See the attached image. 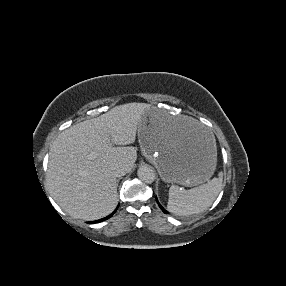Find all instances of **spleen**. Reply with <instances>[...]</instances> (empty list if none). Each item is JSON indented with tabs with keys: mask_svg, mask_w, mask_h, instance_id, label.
Masks as SVG:
<instances>
[{
	"mask_svg": "<svg viewBox=\"0 0 286 286\" xmlns=\"http://www.w3.org/2000/svg\"><path fill=\"white\" fill-rule=\"evenodd\" d=\"M222 174L199 187L186 190L177 185L169 188L167 208L177 215H191L209 208L222 189Z\"/></svg>",
	"mask_w": 286,
	"mask_h": 286,
	"instance_id": "3e777b00",
	"label": "spleen"
}]
</instances>
